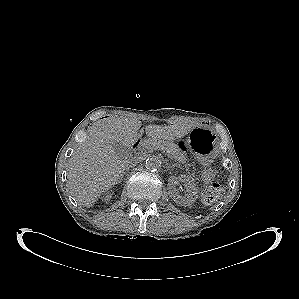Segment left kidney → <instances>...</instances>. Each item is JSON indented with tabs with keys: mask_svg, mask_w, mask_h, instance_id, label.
<instances>
[{
	"mask_svg": "<svg viewBox=\"0 0 299 299\" xmlns=\"http://www.w3.org/2000/svg\"><path fill=\"white\" fill-rule=\"evenodd\" d=\"M179 182H183L186 187L187 193L185 196L179 195L176 190V185ZM168 190L173 200L183 206H191L197 199L198 189L194 183V179L187 175L179 177L170 176L168 179Z\"/></svg>",
	"mask_w": 299,
	"mask_h": 299,
	"instance_id": "1",
	"label": "left kidney"
}]
</instances>
